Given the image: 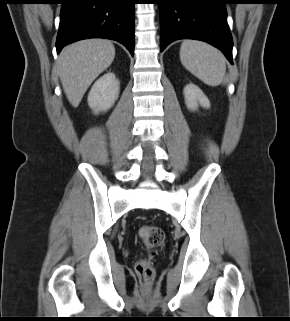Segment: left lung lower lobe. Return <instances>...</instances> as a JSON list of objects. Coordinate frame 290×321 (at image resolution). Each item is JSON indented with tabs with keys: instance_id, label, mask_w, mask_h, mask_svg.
<instances>
[{
	"instance_id": "0a47b994",
	"label": "left lung lower lobe",
	"mask_w": 290,
	"mask_h": 321,
	"mask_svg": "<svg viewBox=\"0 0 290 321\" xmlns=\"http://www.w3.org/2000/svg\"><path fill=\"white\" fill-rule=\"evenodd\" d=\"M228 0H160V50L178 39L205 41L231 64L233 40L227 24Z\"/></svg>"
}]
</instances>
